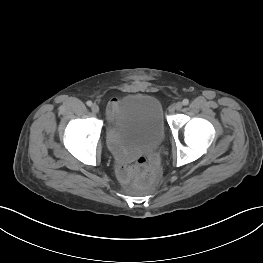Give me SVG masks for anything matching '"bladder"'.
<instances>
[{
	"mask_svg": "<svg viewBox=\"0 0 263 263\" xmlns=\"http://www.w3.org/2000/svg\"><path fill=\"white\" fill-rule=\"evenodd\" d=\"M114 131L128 148L149 151L159 147L165 137L160 102L147 94L125 95L116 110Z\"/></svg>",
	"mask_w": 263,
	"mask_h": 263,
	"instance_id": "1",
	"label": "bladder"
}]
</instances>
